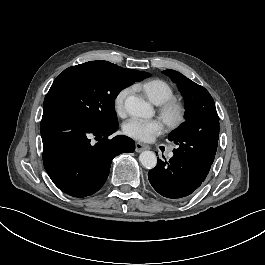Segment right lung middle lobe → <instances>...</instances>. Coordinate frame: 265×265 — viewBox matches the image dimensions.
<instances>
[{
	"mask_svg": "<svg viewBox=\"0 0 265 265\" xmlns=\"http://www.w3.org/2000/svg\"><path fill=\"white\" fill-rule=\"evenodd\" d=\"M149 75L107 61L67 68L53 82L43 112L64 113L93 128H113L118 125L114 101L119 92Z\"/></svg>",
	"mask_w": 265,
	"mask_h": 265,
	"instance_id": "1",
	"label": "right lung middle lobe"
}]
</instances>
